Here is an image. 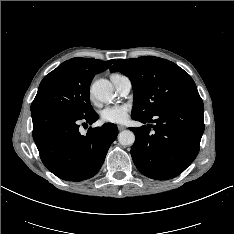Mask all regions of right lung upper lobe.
Returning a JSON list of instances; mask_svg holds the SVG:
<instances>
[{
	"label": "right lung upper lobe",
	"instance_id": "right-lung-upper-lobe-1",
	"mask_svg": "<svg viewBox=\"0 0 234 234\" xmlns=\"http://www.w3.org/2000/svg\"><path fill=\"white\" fill-rule=\"evenodd\" d=\"M114 60L102 61L93 58H72L62 63L82 78L92 81L94 76L110 67Z\"/></svg>",
	"mask_w": 234,
	"mask_h": 234
}]
</instances>
